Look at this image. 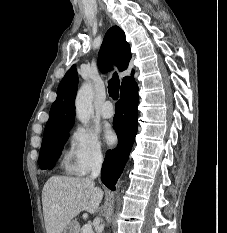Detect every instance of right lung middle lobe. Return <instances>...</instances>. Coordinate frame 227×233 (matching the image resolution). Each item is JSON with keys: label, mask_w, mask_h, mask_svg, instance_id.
Returning <instances> with one entry per match:
<instances>
[{"label": "right lung middle lobe", "mask_w": 227, "mask_h": 233, "mask_svg": "<svg viewBox=\"0 0 227 233\" xmlns=\"http://www.w3.org/2000/svg\"><path fill=\"white\" fill-rule=\"evenodd\" d=\"M66 131L54 138L44 139L39 154V166L41 169H52L61 154V150L68 139Z\"/></svg>", "instance_id": "right-lung-middle-lobe-1"}]
</instances>
